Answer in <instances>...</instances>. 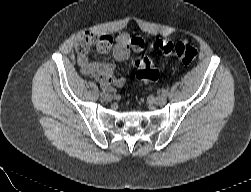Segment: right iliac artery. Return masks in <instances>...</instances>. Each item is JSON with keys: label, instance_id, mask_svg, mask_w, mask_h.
Listing matches in <instances>:
<instances>
[{"label": "right iliac artery", "instance_id": "1", "mask_svg": "<svg viewBox=\"0 0 251 192\" xmlns=\"http://www.w3.org/2000/svg\"><path fill=\"white\" fill-rule=\"evenodd\" d=\"M104 95H105V90H103L102 92H100V96L101 97H104Z\"/></svg>", "mask_w": 251, "mask_h": 192}]
</instances>
